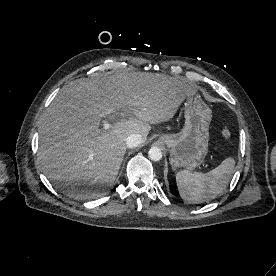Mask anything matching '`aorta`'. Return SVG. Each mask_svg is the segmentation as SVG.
Returning <instances> with one entry per match:
<instances>
[{"mask_svg":"<svg viewBox=\"0 0 276 276\" xmlns=\"http://www.w3.org/2000/svg\"><path fill=\"white\" fill-rule=\"evenodd\" d=\"M148 156L153 161H160L162 159V151L158 147H151Z\"/></svg>","mask_w":276,"mask_h":276,"instance_id":"aorta-1","label":"aorta"}]
</instances>
